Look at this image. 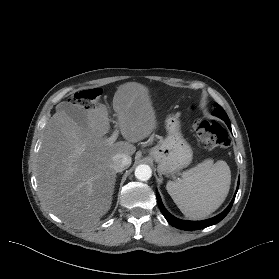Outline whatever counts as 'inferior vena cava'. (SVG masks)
Instances as JSON below:
<instances>
[{
    "label": "inferior vena cava",
    "instance_id": "1",
    "mask_svg": "<svg viewBox=\"0 0 279 279\" xmlns=\"http://www.w3.org/2000/svg\"><path fill=\"white\" fill-rule=\"evenodd\" d=\"M131 164V157L123 154L118 153L112 157V168L115 172H122Z\"/></svg>",
    "mask_w": 279,
    "mask_h": 279
}]
</instances>
